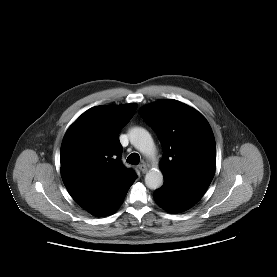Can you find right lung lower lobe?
I'll use <instances>...</instances> for the list:
<instances>
[{
    "label": "right lung lower lobe",
    "instance_id": "1",
    "mask_svg": "<svg viewBox=\"0 0 277 277\" xmlns=\"http://www.w3.org/2000/svg\"><path fill=\"white\" fill-rule=\"evenodd\" d=\"M137 178V177H136ZM136 178L131 179L127 182L112 198H110L104 205L91 211L90 213L97 217H102L114 212L123 202L128 189L134 183Z\"/></svg>",
    "mask_w": 277,
    "mask_h": 277
}]
</instances>
